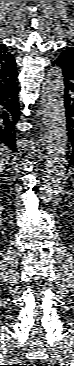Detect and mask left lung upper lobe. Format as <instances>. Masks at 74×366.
<instances>
[{
    "label": "left lung upper lobe",
    "instance_id": "1",
    "mask_svg": "<svg viewBox=\"0 0 74 366\" xmlns=\"http://www.w3.org/2000/svg\"><path fill=\"white\" fill-rule=\"evenodd\" d=\"M57 59H61L64 63L74 67V47L65 48Z\"/></svg>",
    "mask_w": 74,
    "mask_h": 366
}]
</instances>
